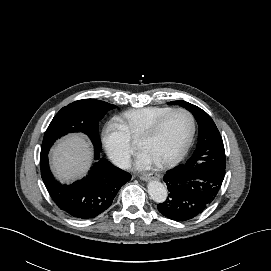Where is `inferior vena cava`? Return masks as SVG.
Returning a JSON list of instances; mask_svg holds the SVG:
<instances>
[{
    "mask_svg": "<svg viewBox=\"0 0 271 271\" xmlns=\"http://www.w3.org/2000/svg\"><path fill=\"white\" fill-rule=\"evenodd\" d=\"M112 162L123 169H129L131 167L130 156L127 154H116L111 157Z\"/></svg>",
    "mask_w": 271,
    "mask_h": 271,
    "instance_id": "inferior-vena-cava-1",
    "label": "inferior vena cava"
}]
</instances>
